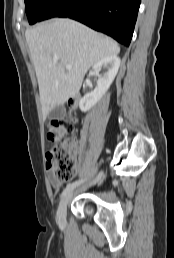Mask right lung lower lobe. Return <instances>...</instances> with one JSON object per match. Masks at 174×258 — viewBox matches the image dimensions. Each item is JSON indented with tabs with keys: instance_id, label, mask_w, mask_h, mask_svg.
I'll use <instances>...</instances> for the list:
<instances>
[{
	"instance_id": "98d812e1",
	"label": "right lung lower lobe",
	"mask_w": 174,
	"mask_h": 258,
	"mask_svg": "<svg viewBox=\"0 0 174 258\" xmlns=\"http://www.w3.org/2000/svg\"><path fill=\"white\" fill-rule=\"evenodd\" d=\"M140 3L141 0H53L42 20L72 18L129 46Z\"/></svg>"
}]
</instances>
